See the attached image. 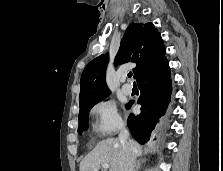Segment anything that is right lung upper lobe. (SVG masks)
Segmentation results:
<instances>
[{"label": "right lung upper lobe", "mask_w": 223, "mask_h": 171, "mask_svg": "<svg viewBox=\"0 0 223 171\" xmlns=\"http://www.w3.org/2000/svg\"><path fill=\"white\" fill-rule=\"evenodd\" d=\"M165 47L152 23H131L121 40L114 64L135 62L134 78L138 80L165 60ZM108 53L93 59L81 76L80 108L109 95L106 85Z\"/></svg>", "instance_id": "1"}]
</instances>
